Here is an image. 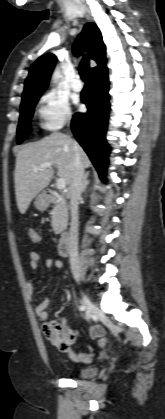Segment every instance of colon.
I'll use <instances>...</instances> for the list:
<instances>
[{
    "label": "colon",
    "mask_w": 165,
    "mask_h": 419,
    "mask_svg": "<svg viewBox=\"0 0 165 419\" xmlns=\"http://www.w3.org/2000/svg\"><path fill=\"white\" fill-rule=\"evenodd\" d=\"M28 235L32 242L39 241V235L33 228L28 229ZM42 331L47 338L56 343H65L70 339V328L65 327L57 322H48L42 326Z\"/></svg>",
    "instance_id": "1"
}]
</instances>
